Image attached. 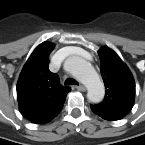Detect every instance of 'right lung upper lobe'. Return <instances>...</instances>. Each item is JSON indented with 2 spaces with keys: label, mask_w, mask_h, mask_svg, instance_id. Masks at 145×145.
<instances>
[{
  "label": "right lung upper lobe",
  "mask_w": 145,
  "mask_h": 145,
  "mask_svg": "<svg viewBox=\"0 0 145 145\" xmlns=\"http://www.w3.org/2000/svg\"><path fill=\"white\" fill-rule=\"evenodd\" d=\"M54 45L41 43L22 69L17 83L21 114L36 124L50 122L61 111L69 87L60 84L57 74L49 70V54Z\"/></svg>",
  "instance_id": "right-lung-upper-lobe-1"
}]
</instances>
